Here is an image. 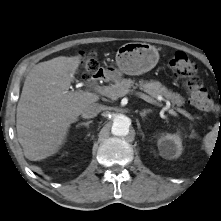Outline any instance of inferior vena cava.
Segmentation results:
<instances>
[{
  "mask_svg": "<svg viewBox=\"0 0 221 221\" xmlns=\"http://www.w3.org/2000/svg\"><path fill=\"white\" fill-rule=\"evenodd\" d=\"M102 111V105L99 103H92L85 106L81 112V116L85 119L94 118Z\"/></svg>",
  "mask_w": 221,
  "mask_h": 221,
  "instance_id": "obj_1",
  "label": "inferior vena cava"
}]
</instances>
